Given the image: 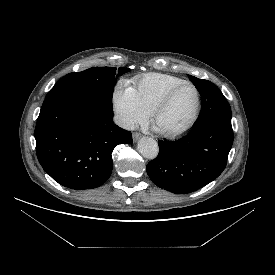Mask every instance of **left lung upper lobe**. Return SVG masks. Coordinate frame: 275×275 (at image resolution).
Instances as JSON below:
<instances>
[{"instance_id":"5c2ea615","label":"left lung upper lobe","mask_w":275,"mask_h":275,"mask_svg":"<svg viewBox=\"0 0 275 275\" xmlns=\"http://www.w3.org/2000/svg\"><path fill=\"white\" fill-rule=\"evenodd\" d=\"M202 97V110L195 126L213 120L231 119V108L220 89L210 81L189 76Z\"/></svg>"}]
</instances>
